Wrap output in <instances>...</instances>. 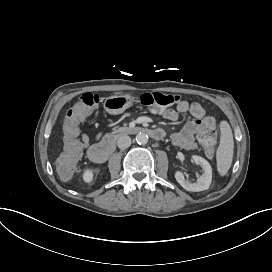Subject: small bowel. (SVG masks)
<instances>
[{"label": "small bowel", "instance_id": "obj_1", "mask_svg": "<svg viewBox=\"0 0 272 272\" xmlns=\"http://www.w3.org/2000/svg\"><path fill=\"white\" fill-rule=\"evenodd\" d=\"M160 111L169 121H176L179 114L186 117V122L182 129L172 135L173 144L185 150L196 148L197 144L194 136L204 131V125L207 122L216 123L214 117L206 115L205 108L202 105L187 100L179 101L174 109ZM80 141L83 144V149L89 147L90 140L86 134L81 135Z\"/></svg>", "mask_w": 272, "mask_h": 272}]
</instances>
